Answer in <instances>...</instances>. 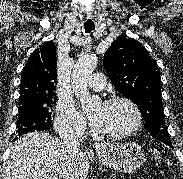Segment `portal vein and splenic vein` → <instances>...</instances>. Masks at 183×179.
<instances>
[{"label":"portal vein and splenic vein","mask_w":183,"mask_h":179,"mask_svg":"<svg viewBox=\"0 0 183 179\" xmlns=\"http://www.w3.org/2000/svg\"><path fill=\"white\" fill-rule=\"evenodd\" d=\"M52 179H58L57 177H53Z\"/></svg>","instance_id":"obj_1"}]
</instances>
